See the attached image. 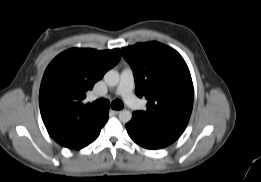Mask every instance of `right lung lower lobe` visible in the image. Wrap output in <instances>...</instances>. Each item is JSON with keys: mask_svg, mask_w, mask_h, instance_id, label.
<instances>
[{"mask_svg": "<svg viewBox=\"0 0 261 182\" xmlns=\"http://www.w3.org/2000/svg\"><path fill=\"white\" fill-rule=\"evenodd\" d=\"M108 120V111L104 110L100 117V120L94 125V127L88 132L87 136L84 140L78 144V146L74 147L73 149H81L91 142H93L100 134L101 128L105 125Z\"/></svg>", "mask_w": 261, "mask_h": 182, "instance_id": "obj_1", "label": "right lung lower lobe"}]
</instances>
